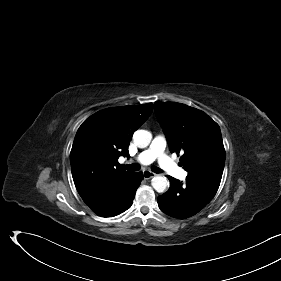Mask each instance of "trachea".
Returning a JSON list of instances; mask_svg holds the SVG:
<instances>
[{
  "label": "trachea",
  "instance_id": "3493384b",
  "mask_svg": "<svg viewBox=\"0 0 281 281\" xmlns=\"http://www.w3.org/2000/svg\"><path fill=\"white\" fill-rule=\"evenodd\" d=\"M122 167H124V169H126V170H128V171H138V170H140V165H139V164H136V163L130 164V165H125V166H122ZM152 170H153V172H155V173H162V172H163V171H162L160 168H158V167H152Z\"/></svg>",
  "mask_w": 281,
  "mask_h": 281
}]
</instances>
